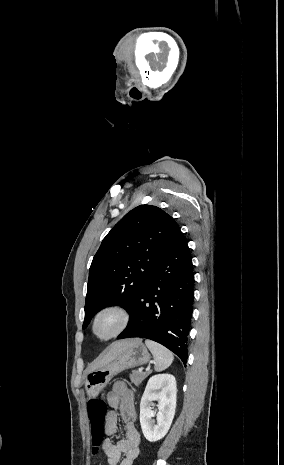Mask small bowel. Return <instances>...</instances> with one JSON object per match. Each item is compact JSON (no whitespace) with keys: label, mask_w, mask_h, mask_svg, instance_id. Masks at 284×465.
I'll use <instances>...</instances> for the list:
<instances>
[{"label":"small bowel","mask_w":284,"mask_h":465,"mask_svg":"<svg viewBox=\"0 0 284 465\" xmlns=\"http://www.w3.org/2000/svg\"><path fill=\"white\" fill-rule=\"evenodd\" d=\"M107 402L112 411L107 416L103 442L108 465H133L140 454V434L137 429V412L134 394L127 384L118 380L112 385L107 395ZM119 417L124 423L125 437L113 441L110 437L118 431Z\"/></svg>","instance_id":"small-bowel-1"}]
</instances>
